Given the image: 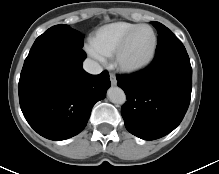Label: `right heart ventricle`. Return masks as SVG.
I'll list each match as a JSON object with an SVG mask.
<instances>
[{
	"mask_svg": "<svg viewBox=\"0 0 219 174\" xmlns=\"http://www.w3.org/2000/svg\"><path fill=\"white\" fill-rule=\"evenodd\" d=\"M140 24L117 21L98 28L91 37V45L103 56H113L123 38Z\"/></svg>",
	"mask_w": 219,
	"mask_h": 174,
	"instance_id": "obj_1",
	"label": "right heart ventricle"
}]
</instances>
